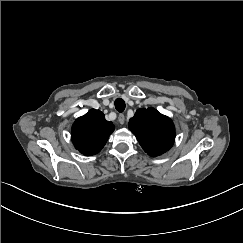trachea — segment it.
Instances as JSON below:
<instances>
[{"mask_svg":"<svg viewBox=\"0 0 243 243\" xmlns=\"http://www.w3.org/2000/svg\"><path fill=\"white\" fill-rule=\"evenodd\" d=\"M125 102L122 98H117L115 100V108L118 112H123L125 110Z\"/></svg>","mask_w":243,"mask_h":243,"instance_id":"obj_1","label":"trachea"}]
</instances>
